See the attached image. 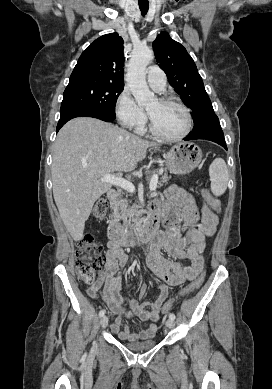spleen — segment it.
I'll use <instances>...</instances> for the list:
<instances>
[{"instance_id": "1", "label": "spleen", "mask_w": 272, "mask_h": 389, "mask_svg": "<svg viewBox=\"0 0 272 389\" xmlns=\"http://www.w3.org/2000/svg\"><path fill=\"white\" fill-rule=\"evenodd\" d=\"M211 191L215 196L225 193L228 184V169L222 158H216L209 167Z\"/></svg>"}]
</instances>
